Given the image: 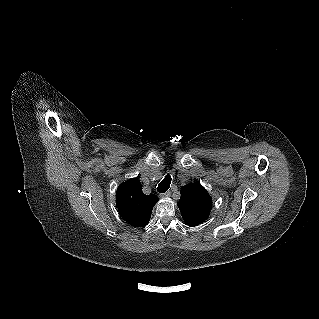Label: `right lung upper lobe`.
Segmentation results:
<instances>
[{
  "label": "right lung upper lobe",
  "instance_id": "right-lung-upper-lobe-1",
  "mask_svg": "<svg viewBox=\"0 0 319 319\" xmlns=\"http://www.w3.org/2000/svg\"><path fill=\"white\" fill-rule=\"evenodd\" d=\"M157 201L156 195H145L142 192V186L137 178L122 183L116 192L119 214L133 227H143L148 224Z\"/></svg>",
  "mask_w": 319,
  "mask_h": 319
}]
</instances>
